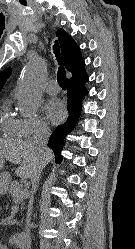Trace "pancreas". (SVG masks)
Wrapping results in <instances>:
<instances>
[{
  "label": "pancreas",
  "mask_w": 135,
  "mask_h": 249,
  "mask_svg": "<svg viewBox=\"0 0 135 249\" xmlns=\"http://www.w3.org/2000/svg\"><path fill=\"white\" fill-rule=\"evenodd\" d=\"M21 192L24 193L23 199L29 196L28 190L27 189L23 190L22 185L19 182L17 181L11 182L9 186V194L12 196L14 202L16 203L20 202V201H17V198Z\"/></svg>",
  "instance_id": "obj_1"
}]
</instances>
